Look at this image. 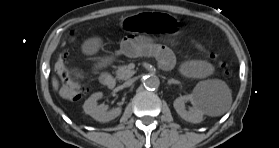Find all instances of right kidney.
Segmentation results:
<instances>
[{
	"instance_id": "ca27d5eb",
	"label": "right kidney",
	"mask_w": 279,
	"mask_h": 148,
	"mask_svg": "<svg viewBox=\"0 0 279 148\" xmlns=\"http://www.w3.org/2000/svg\"><path fill=\"white\" fill-rule=\"evenodd\" d=\"M103 97L102 92H97L92 94L84 103V112L90 115L97 121L108 122L115 119L121 114V107H117L110 111H106L107 107L105 105H97V101Z\"/></svg>"
}]
</instances>
